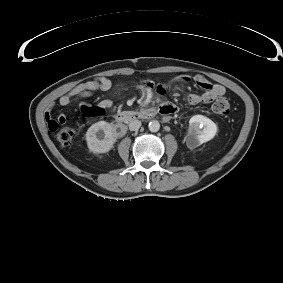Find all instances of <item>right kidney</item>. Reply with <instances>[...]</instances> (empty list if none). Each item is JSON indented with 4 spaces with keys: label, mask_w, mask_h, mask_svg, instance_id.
Returning a JSON list of instances; mask_svg holds the SVG:
<instances>
[{
    "label": "right kidney",
    "mask_w": 283,
    "mask_h": 283,
    "mask_svg": "<svg viewBox=\"0 0 283 283\" xmlns=\"http://www.w3.org/2000/svg\"><path fill=\"white\" fill-rule=\"evenodd\" d=\"M85 137L90 151L93 153H106L113 148L118 134L111 123L99 121L89 127Z\"/></svg>",
    "instance_id": "1"
}]
</instances>
